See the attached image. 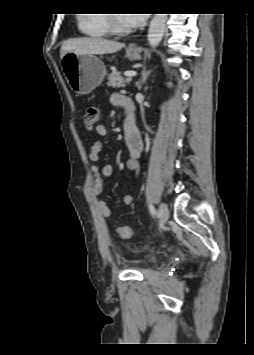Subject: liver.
Here are the masks:
<instances>
[{"label":"liver","instance_id":"liver-1","mask_svg":"<svg viewBox=\"0 0 254 355\" xmlns=\"http://www.w3.org/2000/svg\"><path fill=\"white\" fill-rule=\"evenodd\" d=\"M124 47L123 43L101 38L81 37L64 41L60 49L62 58L68 52L78 54H108L115 53Z\"/></svg>","mask_w":254,"mask_h":355}]
</instances>
